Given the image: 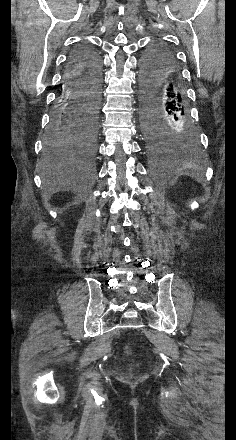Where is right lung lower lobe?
Masks as SVG:
<instances>
[{"label":"right lung lower lobe","instance_id":"1","mask_svg":"<svg viewBox=\"0 0 236 440\" xmlns=\"http://www.w3.org/2000/svg\"><path fill=\"white\" fill-rule=\"evenodd\" d=\"M101 80L99 54L87 43L78 45L69 57L63 83L59 85L50 131L78 129L88 106L87 100L82 98V91L87 84L101 85Z\"/></svg>","mask_w":236,"mask_h":440}]
</instances>
